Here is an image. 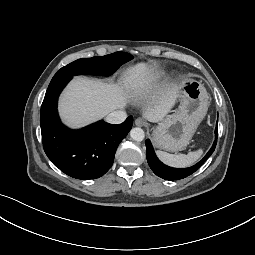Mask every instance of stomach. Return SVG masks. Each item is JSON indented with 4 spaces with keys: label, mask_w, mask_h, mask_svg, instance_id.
<instances>
[{
    "label": "stomach",
    "mask_w": 255,
    "mask_h": 255,
    "mask_svg": "<svg viewBox=\"0 0 255 255\" xmlns=\"http://www.w3.org/2000/svg\"><path fill=\"white\" fill-rule=\"evenodd\" d=\"M178 99V110L153 130L154 145L171 152L181 151L189 144L209 105L206 89L195 80L181 83Z\"/></svg>",
    "instance_id": "stomach-1"
}]
</instances>
